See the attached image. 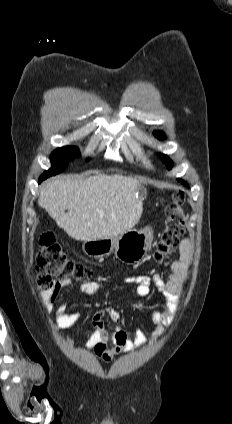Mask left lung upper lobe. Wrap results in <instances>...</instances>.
I'll use <instances>...</instances> for the list:
<instances>
[{
	"label": "left lung upper lobe",
	"mask_w": 232,
	"mask_h": 424,
	"mask_svg": "<svg viewBox=\"0 0 232 424\" xmlns=\"http://www.w3.org/2000/svg\"><path fill=\"white\" fill-rule=\"evenodd\" d=\"M154 135L160 139L163 140L165 138V134L161 131L155 132ZM160 157L162 159V161L166 164L168 169L172 168V161L170 160V158L164 154H160Z\"/></svg>",
	"instance_id": "left-lung-upper-lobe-1"
}]
</instances>
